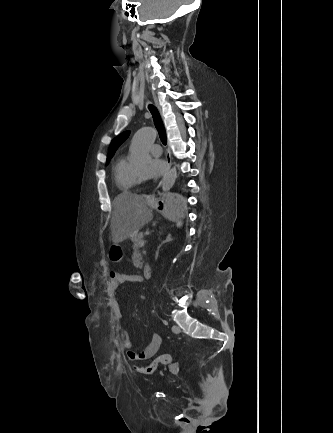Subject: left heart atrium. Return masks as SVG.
<instances>
[{
	"mask_svg": "<svg viewBox=\"0 0 333 433\" xmlns=\"http://www.w3.org/2000/svg\"><path fill=\"white\" fill-rule=\"evenodd\" d=\"M165 162L159 158H152L146 166L143 176L146 179H156L165 171Z\"/></svg>",
	"mask_w": 333,
	"mask_h": 433,
	"instance_id": "left-heart-atrium-1",
	"label": "left heart atrium"
}]
</instances>
